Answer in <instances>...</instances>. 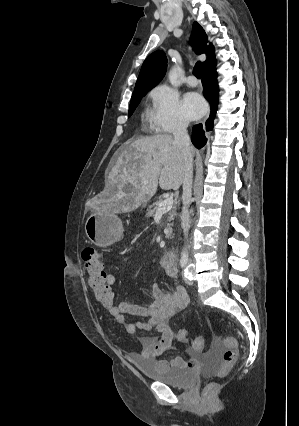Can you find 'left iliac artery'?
<instances>
[{"label":"left iliac artery","instance_id":"left-iliac-artery-1","mask_svg":"<svg viewBox=\"0 0 299 426\" xmlns=\"http://www.w3.org/2000/svg\"><path fill=\"white\" fill-rule=\"evenodd\" d=\"M185 277H188L189 279H192V269L190 271H185Z\"/></svg>","mask_w":299,"mask_h":426}]
</instances>
